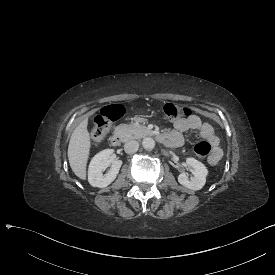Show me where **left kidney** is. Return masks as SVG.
I'll use <instances>...</instances> for the list:
<instances>
[{
	"label": "left kidney",
	"mask_w": 275,
	"mask_h": 275,
	"mask_svg": "<svg viewBox=\"0 0 275 275\" xmlns=\"http://www.w3.org/2000/svg\"><path fill=\"white\" fill-rule=\"evenodd\" d=\"M186 163L194 169V177L189 180L185 173H181L178 176V182L189 189L200 190L206 182L207 168L203 163L194 158H187Z\"/></svg>",
	"instance_id": "5707ae66"
}]
</instances>
